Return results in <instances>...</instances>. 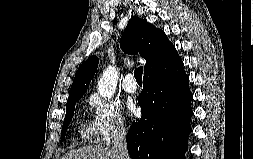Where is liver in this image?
Returning <instances> with one entry per match:
<instances>
[{"label":"liver","mask_w":253,"mask_h":159,"mask_svg":"<svg viewBox=\"0 0 253 159\" xmlns=\"http://www.w3.org/2000/svg\"><path fill=\"white\" fill-rule=\"evenodd\" d=\"M61 159H119L113 148L100 146H84L72 150L61 157Z\"/></svg>","instance_id":"6515ba94"}]
</instances>
